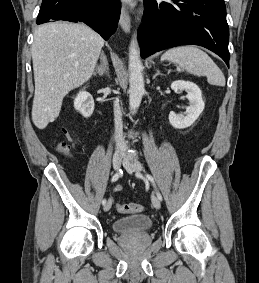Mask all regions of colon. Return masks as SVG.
<instances>
[{
	"mask_svg": "<svg viewBox=\"0 0 259 283\" xmlns=\"http://www.w3.org/2000/svg\"><path fill=\"white\" fill-rule=\"evenodd\" d=\"M58 148L62 153L67 154L69 153L71 146L67 141H63L59 144ZM117 210L123 214L140 213L143 210V206L138 203L119 204L117 205Z\"/></svg>",
	"mask_w": 259,
	"mask_h": 283,
	"instance_id": "colon-1",
	"label": "colon"
}]
</instances>
